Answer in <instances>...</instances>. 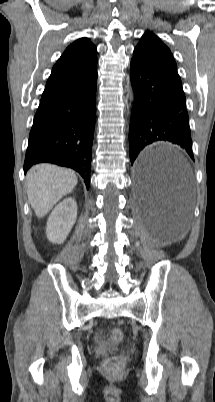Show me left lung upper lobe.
<instances>
[{
    "mask_svg": "<svg viewBox=\"0 0 215 402\" xmlns=\"http://www.w3.org/2000/svg\"><path fill=\"white\" fill-rule=\"evenodd\" d=\"M132 60L163 71L180 80L177 65L170 49L150 31H146L141 37L134 49Z\"/></svg>",
    "mask_w": 215,
    "mask_h": 402,
    "instance_id": "1",
    "label": "left lung upper lobe"
}]
</instances>
